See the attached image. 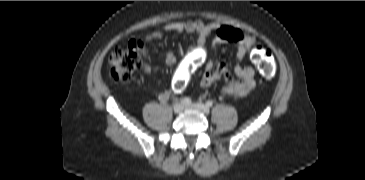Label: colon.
<instances>
[{"label":"colon","instance_id":"obj_1","mask_svg":"<svg viewBox=\"0 0 365 180\" xmlns=\"http://www.w3.org/2000/svg\"><path fill=\"white\" fill-rule=\"evenodd\" d=\"M251 59L263 77L271 79L276 72V64L270 50L256 47L251 53ZM143 63V44L131 41L126 48H117L109 56V77L114 82L128 81L133 73ZM184 83L177 82L175 87L181 90Z\"/></svg>","mask_w":365,"mask_h":180}]
</instances>
